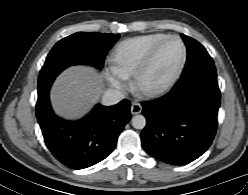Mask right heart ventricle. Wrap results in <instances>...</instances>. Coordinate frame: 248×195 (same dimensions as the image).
I'll use <instances>...</instances> for the list:
<instances>
[{
  "label": "right heart ventricle",
  "mask_w": 248,
  "mask_h": 195,
  "mask_svg": "<svg viewBox=\"0 0 248 195\" xmlns=\"http://www.w3.org/2000/svg\"><path fill=\"white\" fill-rule=\"evenodd\" d=\"M166 37L168 35L164 33H152L122 42L113 58V71L123 77L134 76L152 50Z\"/></svg>",
  "instance_id": "obj_1"
}]
</instances>
